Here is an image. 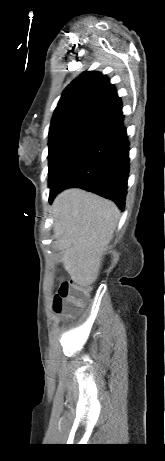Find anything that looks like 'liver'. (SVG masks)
<instances>
[{"label":"liver","instance_id":"6515ba94","mask_svg":"<svg viewBox=\"0 0 165 461\" xmlns=\"http://www.w3.org/2000/svg\"><path fill=\"white\" fill-rule=\"evenodd\" d=\"M53 238L71 279L94 283L104 251L113 238L120 211L110 200L78 188L67 189L52 204Z\"/></svg>","mask_w":165,"mask_h":461}]
</instances>
